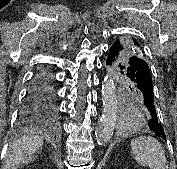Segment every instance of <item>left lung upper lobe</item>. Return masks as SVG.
<instances>
[{
  "instance_id": "left-lung-upper-lobe-1",
  "label": "left lung upper lobe",
  "mask_w": 177,
  "mask_h": 169,
  "mask_svg": "<svg viewBox=\"0 0 177 169\" xmlns=\"http://www.w3.org/2000/svg\"><path fill=\"white\" fill-rule=\"evenodd\" d=\"M115 42L120 43L123 47L117 62L124 61L130 56H137L145 60L144 48L138 39L132 37L125 40L118 39Z\"/></svg>"
}]
</instances>
